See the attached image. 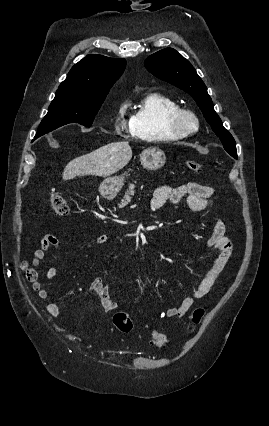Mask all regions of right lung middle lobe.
I'll return each instance as SVG.
<instances>
[{
	"instance_id": "obj_1",
	"label": "right lung middle lobe",
	"mask_w": 269,
	"mask_h": 426,
	"mask_svg": "<svg viewBox=\"0 0 269 426\" xmlns=\"http://www.w3.org/2000/svg\"><path fill=\"white\" fill-rule=\"evenodd\" d=\"M105 97L87 99L55 95L34 139L68 123L90 127Z\"/></svg>"
}]
</instances>
